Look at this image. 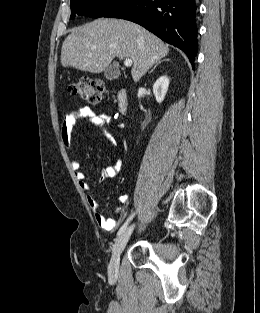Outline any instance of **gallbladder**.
Wrapping results in <instances>:
<instances>
[{"instance_id": "1", "label": "gallbladder", "mask_w": 260, "mask_h": 313, "mask_svg": "<svg viewBox=\"0 0 260 313\" xmlns=\"http://www.w3.org/2000/svg\"><path fill=\"white\" fill-rule=\"evenodd\" d=\"M105 77L110 80H114L118 78L119 76V71L115 65L109 66L105 71H104Z\"/></svg>"}]
</instances>
